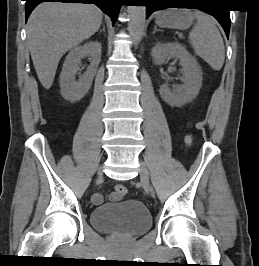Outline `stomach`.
Returning <instances> with one entry per match:
<instances>
[{
    "label": "stomach",
    "instance_id": "stomach-1",
    "mask_svg": "<svg viewBox=\"0 0 259 266\" xmlns=\"http://www.w3.org/2000/svg\"><path fill=\"white\" fill-rule=\"evenodd\" d=\"M193 13L188 9H169L156 16V24L162 28L184 30L193 23Z\"/></svg>",
    "mask_w": 259,
    "mask_h": 266
}]
</instances>
